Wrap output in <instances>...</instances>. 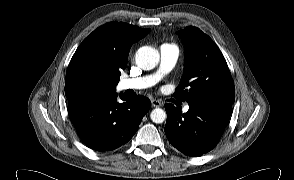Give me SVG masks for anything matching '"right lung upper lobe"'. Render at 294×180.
Returning <instances> with one entry per match:
<instances>
[{"instance_id": "cb5924a9", "label": "right lung upper lobe", "mask_w": 294, "mask_h": 180, "mask_svg": "<svg viewBox=\"0 0 294 180\" xmlns=\"http://www.w3.org/2000/svg\"><path fill=\"white\" fill-rule=\"evenodd\" d=\"M149 32V28L110 22L87 36L74 53L66 72L65 95L69 104L86 99L79 97L73 88L74 76L84 65H93L108 75L107 88L100 96L114 93L121 70L127 66L132 44Z\"/></svg>"}]
</instances>
